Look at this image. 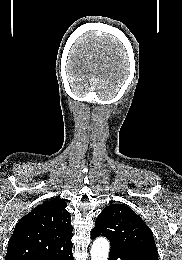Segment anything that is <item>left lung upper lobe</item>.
Wrapping results in <instances>:
<instances>
[{"label":"left lung upper lobe","mask_w":182,"mask_h":260,"mask_svg":"<svg viewBox=\"0 0 182 260\" xmlns=\"http://www.w3.org/2000/svg\"><path fill=\"white\" fill-rule=\"evenodd\" d=\"M91 235L105 236L111 247L158 260L153 233L131 208L123 204L105 207L96 219Z\"/></svg>","instance_id":"left-lung-upper-lobe-1"}]
</instances>
